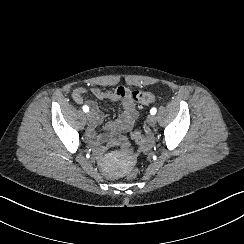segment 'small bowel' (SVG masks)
<instances>
[{"label":"small bowel","instance_id":"c3829d8e","mask_svg":"<svg viewBox=\"0 0 244 244\" xmlns=\"http://www.w3.org/2000/svg\"><path fill=\"white\" fill-rule=\"evenodd\" d=\"M87 93L93 94L99 100L108 99V94L98 87H92L89 89L84 87H78L74 89L72 93V99L75 103L83 104L84 102H86L90 107L91 113L94 117V123L90 126L89 132L93 139H95L98 143L112 140V136L115 133L121 134L129 131L132 128L137 118L138 112L132 98L130 96H127L121 101L122 112L119 118L115 121L107 123L105 126V132L95 136V134L93 133L94 128L96 124L100 123L103 120V114L94 101H85V95ZM153 144L154 139L151 136H146L143 139L142 148L146 150Z\"/></svg>","mask_w":244,"mask_h":244}]
</instances>
